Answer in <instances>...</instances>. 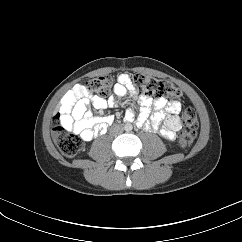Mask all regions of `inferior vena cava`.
<instances>
[{
    "label": "inferior vena cava",
    "mask_w": 242,
    "mask_h": 242,
    "mask_svg": "<svg viewBox=\"0 0 242 242\" xmlns=\"http://www.w3.org/2000/svg\"><path fill=\"white\" fill-rule=\"evenodd\" d=\"M111 132L114 134V135H118V134H121L123 132V127L120 126V125H115L111 128Z\"/></svg>",
    "instance_id": "obj_1"
}]
</instances>
